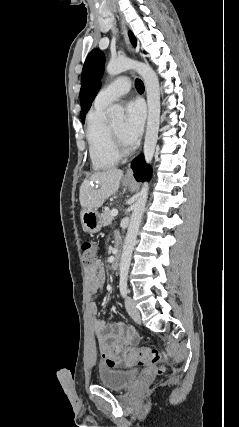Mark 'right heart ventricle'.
I'll return each mask as SVG.
<instances>
[{
  "mask_svg": "<svg viewBox=\"0 0 239 427\" xmlns=\"http://www.w3.org/2000/svg\"><path fill=\"white\" fill-rule=\"evenodd\" d=\"M105 108L95 104L87 116L86 137L95 170L108 169L119 161L112 144L110 126L105 119Z\"/></svg>",
  "mask_w": 239,
  "mask_h": 427,
  "instance_id": "right-heart-ventricle-1",
  "label": "right heart ventricle"
}]
</instances>
